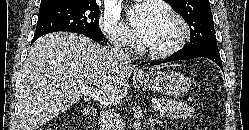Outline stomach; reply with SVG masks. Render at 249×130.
<instances>
[{
    "label": "stomach",
    "mask_w": 249,
    "mask_h": 130,
    "mask_svg": "<svg viewBox=\"0 0 249 130\" xmlns=\"http://www.w3.org/2000/svg\"><path fill=\"white\" fill-rule=\"evenodd\" d=\"M138 80L141 86L171 97L183 96L191 86L184 74L171 70L140 77Z\"/></svg>",
    "instance_id": "1"
}]
</instances>
